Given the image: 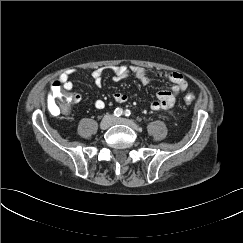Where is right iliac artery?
<instances>
[{"label": "right iliac artery", "mask_w": 243, "mask_h": 243, "mask_svg": "<svg viewBox=\"0 0 243 243\" xmlns=\"http://www.w3.org/2000/svg\"><path fill=\"white\" fill-rule=\"evenodd\" d=\"M114 116L116 117H120L121 115H123V110L121 108H116L113 112Z\"/></svg>", "instance_id": "1"}]
</instances>
